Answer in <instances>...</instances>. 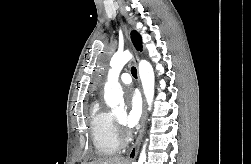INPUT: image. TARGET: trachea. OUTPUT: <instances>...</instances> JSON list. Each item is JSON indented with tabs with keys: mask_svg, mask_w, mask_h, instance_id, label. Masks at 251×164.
Here are the masks:
<instances>
[{
	"mask_svg": "<svg viewBox=\"0 0 251 164\" xmlns=\"http://www.w3.org/2000/svg\"><path fill=\"white\" fill-rule=\"evenodd\" d=\"M131 74L133 75L134 78H137V70L135 67L131 68Z\"/></svg>",
	"mask_w": 251,
	"mask_h": 164,
	"instance_id": "obj_1",
	"label": "trachea"
}]
</instances>
